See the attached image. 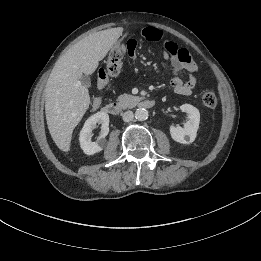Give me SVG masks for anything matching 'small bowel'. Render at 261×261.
Instances as JSON below:
<instances>
[{
    "instance_id": "obj_1",
    "label": "small bowel",
    "mask_w": 261,
    "mask_h": 261,
    "mask_svg": "<svg viewBox=\"0 0 261 261\" xmlns=\"http://www.w3.org/2000/svg\"><path fill=\"white\" fill-rule=\"evenodd\" d=\"M141 36L148 41H159L162 39V32L155 27H146L142 30ZM122 48L130 56H134L136 41L130 39ZM162 56L170 60L172 71L171 87L173 91L179 95H191L196 84L198 67L190 53L186 49L180 48L175 42L165 40ZM182 71H186L189 74L187 81L181 79L180 73ZM101 103L102 98L97 96L93 99L92 106L96 109Z\"/></svg>"
}]
</instances>
